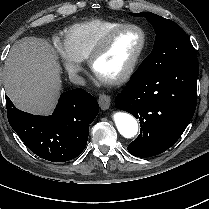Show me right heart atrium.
I'll use <instances>...</instances> for the list:
<instances>
[{
	"mask_svg": "<svg viewBox=\"0 0 209 209\" xmlns=\"http://www.w3.org/2000/svg\"><path fill=\"white\" fill-rule=\"evenodd\" d=\"M58 57L65 68V70L71 74L76 75L81 71L80 61L74 58L68 51L65 44L61 41L55 42Z\"/></svg>",
	"mask_w": 209,
	"mask_h": 209,
	"instance_id": "obj_1",
	"label": "right heart atrium"
}]
</instances>
